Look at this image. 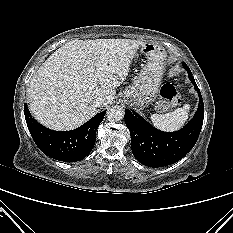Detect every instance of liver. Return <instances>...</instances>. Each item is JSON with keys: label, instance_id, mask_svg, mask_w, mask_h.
<instances>
[{"label": "liver", "instance_id": "6515ba94", "mask_svg": "<svg viewBox=\"0 0 233 233\" xmlns=\"http://www.w3.org/2000/svg\"><path fill=\"white\" fill-rule=\"evenodd\" d=\"M144 42L130 39L72 40L40 66L27 91L37 121L58 131L75 129L96 113L93 101L115 98Z\"/></svg>", "mask_w": 233, "mask_h": 233}]
</instances>
